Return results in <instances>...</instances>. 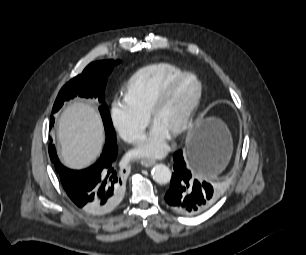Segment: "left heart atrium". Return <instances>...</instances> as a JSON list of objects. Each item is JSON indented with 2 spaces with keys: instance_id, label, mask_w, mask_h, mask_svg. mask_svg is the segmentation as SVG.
Masks as SVG:
<instances>
[{
  "instance_id": "obj_1",
  "label": "left heart atrium",
  "mask_w": 306,
  "mask_h": 255,
  "mask_svg": "<svg viewBox=\"0 0 306 255\" xmlns=\"http://www.w3.org/2000/svg\"><path fill=\"white\" fill-rule=\"evenodd\" d=\"M171 133L153 124L147 137L132 151L135 157H161L169 148Z\"/></svg>"
}]
</instances>
